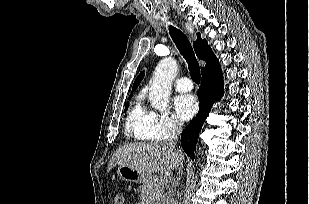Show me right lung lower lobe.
<instances>
[{
    "mask_svg": "<svg viewBox=\"0 0 309 204\" xmlns=\"http://www.w3.org/2000/svg\"><path fill=\"white\" fill-rule=\"evenodd\" d=\"M202 84L198 90L200 107L196 117L181 134V145L187 155L194 159V151L202 125L210 112V107L222 96L223 81L220 67L202 73Z\"/></svg>",
    "mask_w": 309,
    "mask_h": 204,
    "instance_id": "right-lung-lower-lobe-1",
    "label": "right lung lower lobe"
}]
</instances>
